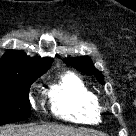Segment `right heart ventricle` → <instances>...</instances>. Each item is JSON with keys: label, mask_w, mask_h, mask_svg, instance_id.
<instances>
[{"label": "right heart ventricle", "mask_w": 136, "mask_h": 136, "mask_svg": "<svg viewBox=\"0 0 136 136\" xmlns=\"http://www.w3.org/2000/svg\"><path fill=\"white\" fill-rule=\"evenodd\" d=\"M48 97L52 112L64 120L83 124L100 120L98 96L73 72L62 74L51 86Z\"/></svg>", "instance_id": "obj_1"}]
</instances>
